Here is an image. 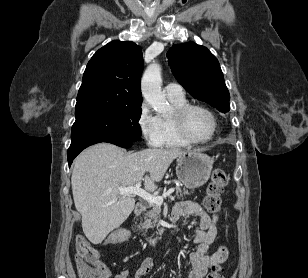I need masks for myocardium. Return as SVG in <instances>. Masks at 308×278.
<instances>
[{
    "mask_svg": "<svg viewBox=\"0 0 308 278\" xmlns=\"http://www.w3.org/2000/svg\"><path fill=\"white\" fill-rule=\"evenodd\" d=\"M193 109H201L205 111L211 118L213 123V128L210 135L205 139H195L186 130L185 127V117ZM171 122L177 132V134L189 144H204L211 141L216 135L218 129V122L214 112L202 104L197 103H186L176 109L170 116Z\"/></svg>",
    "mask_w": 308,
    "mask_h": 278,
    "instance_id": "f54148a6",
    "label": "myocardium"
}]
</instances>
